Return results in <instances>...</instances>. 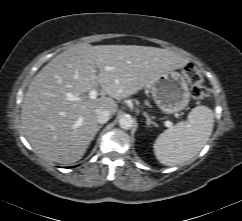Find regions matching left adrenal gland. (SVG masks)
I'll return each mask as SVG.
<instances>
[{"mask_svg": "<svg viewBox=\"0 0 242 221\" xmlns=\"http://www.w3.org/2000/svg\"><path fill=\"white\" fill-rule=\"evenodd\" d=\"M143 115L146 117L147 126L154 125V126L157 127V124L154 121L151 120L150 116L147 113L144 112Z\"/></svg>", "mask_w": 242, "mask_h": 221, "instance_id": "obj_1", "label": "left adrenal gland"}]
</instances>
